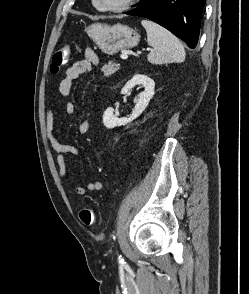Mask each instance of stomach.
<instances>
[{
	"mask_svg": "<svg viewBox=\"0 0 249 294\" xmlns=\"http://www.w3.org/2000/svg\"><path fill=\"white\" fill-rule=\"evenodd\" d=\"M86 32L99 49L108 55L116 54L122 49L135 47L140 39L136 30L119 23L113 26L94 23L86 29Z\"/></svg>",
	"mask_w": 249,
	"mask_h": 294,
	"instance_id": "stomach-1",
	"label": "stomach"
}]
</instances>
